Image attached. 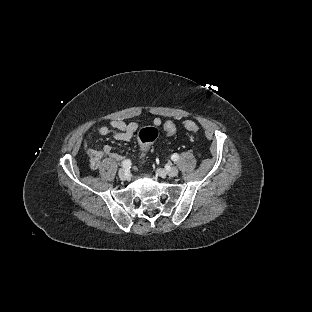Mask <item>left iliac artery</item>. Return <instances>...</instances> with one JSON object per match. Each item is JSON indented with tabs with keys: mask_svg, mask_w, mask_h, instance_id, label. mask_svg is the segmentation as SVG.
I'll use <instances>...</instances> for the list:
<instances>
[{
	"mask_svg": "<svg viewBox=\"0 0 312 312\" xmlns=\"http://www.w3.org/2000/svg\"><path fill=\"white\" fill-rule=\"evenodd\" d=\"M171 159L173 161H177L179 159V155L177 153H174L172 156H171Z\"/></svg>",
	"mask_w": 312,
	"mask_h": 312,
	"instance_id": "obj_1",
	"label": "left iliac artery"
}]
</instances>
